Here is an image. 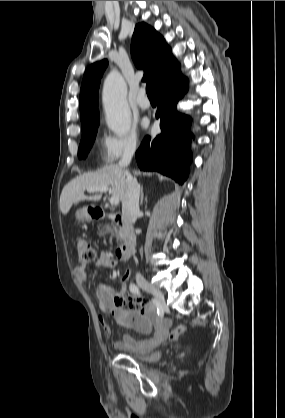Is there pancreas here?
<instances>
[{
    "label": "pancreas",
    "instance_id": "cf45deb5",
    "mask_svg": "<svg viewBox=\"0 0 285 418\" xmlns=\"http://www.w3.org/2000/svg\"><path fill=\"white\" fill-rule=\"evenodd\" d=\"M106 233H110L112 236H115L117 238H122L123 234L120 230H118L116 225H105Z\"/></svg>",
    "mask_w": 285,
    "mask_h": 418
}]
</instances>
